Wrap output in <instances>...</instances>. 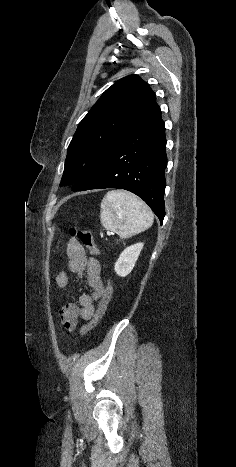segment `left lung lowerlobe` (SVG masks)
<instances>
[{"label":"left lung lower lobe","mask_w":236,"mask_h":467,"mask_svg":"<svg viewBox=\"0 0 236 467\" xmlns=\"http://www.w3.org/2000/svg\"><path fill=\"white\" fill-rule=\"evenodd\" d=\"M165 125L157 105L112 146L96 173L79 191L128 190L142 198L162 223L165 216Z\"/></svg>","instance_id":"1"}]
</instances>
